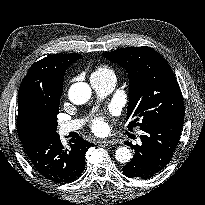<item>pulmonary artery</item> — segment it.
<instances>
[{"label": "pulmonary artery", "mask_w": 205, "mask_h": 205, "mask_svg": "<svg viewBox=\"0 0 205 205\" xmlns=\"http://www.w3.org/2000/svg\"><path fill=\"white\" fill-rule=\"evenodd\" d=\"M91 85L99 97H105L110 94L116 85V75L107 74L103 76H92L90 78ZM82 125L81 120H72L62 122L59 125V132L65 135L69 132L79 129Z\"/></svg>", "instance_id": "1"}]
</instances>
